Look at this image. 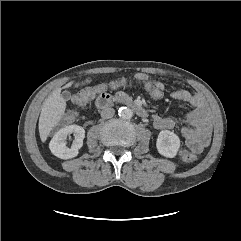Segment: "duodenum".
<instances>
[{"label": "duodenum", "mask_w": 241, "mask_h": 241, "mask_svg": "<svg viewBox=\"0 0 241 241\" xmlns=\"http://www.w3.org/2000/svg\"><path fill=\"white\" fill-rule=\"evenodd\" d=\"M112 104H124L133 109L140 117H146L147 115L140 104L121 93H101L95 100V105L99 109H105Z\"/></svg>", "instance_id": "410a0bca"}]
</instances>
